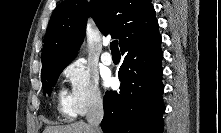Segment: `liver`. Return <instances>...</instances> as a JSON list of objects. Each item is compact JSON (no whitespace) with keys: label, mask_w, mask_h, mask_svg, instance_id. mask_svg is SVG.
<instances>
[{"label":"liver","mask_w":221,"mask_h":133,"mask_svg":"<svg viewBox=\"0 0 221 133\" xmlns=\"http://www.w3.org/2000/svg\"><path fill=\"white\" fill-rule=\"evenodd\" d=\"M91 131L89 124L77 122L64 126H47L43 133H92Z\"/></svg>","instance_id":"6515ba94"}]
</instances>
